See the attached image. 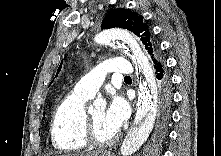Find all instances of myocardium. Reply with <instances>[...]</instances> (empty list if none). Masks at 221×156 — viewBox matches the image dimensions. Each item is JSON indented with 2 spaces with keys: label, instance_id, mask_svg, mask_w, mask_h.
I'll list each match as a JSON object with an SVG mask.
<instances>
[{
  "label": "myocardium",
  "instance_id": "1",
  "mask_svg": "<svg viewBox=\"0 0 221 156\" xmlns=\"http://www.w3.org/2000/svg\"><path fill=\"white\" fill-rule=\"evenodd\" d=\"M82 135L83 139L88 145L97 146V147L110 146L118 139V134L116 133L107 140L99 139L95 133L93 121L90 117V114L86 112L83 118Z\"/></svg>",
  "mask_w": 221,
  "mask_h": 156
}]
</instances>
